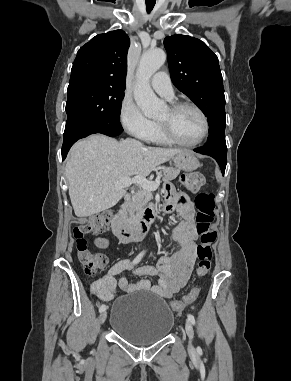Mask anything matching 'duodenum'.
Here are the masks:
<instances>
[{
    "label": "duodenum",
    "mask_w": 291,
    "mask_h": 381,
    "mask_svg": "<svg viewBox=\"0 0 291 381\" xmlns=\"http://www.w3.org/2000/svg\"><path fill=\"white\" fill-rule=\"evenodd\" d=\"M125 204L113 216L111 227L113 233L122 243L138 242L143 240L155 220L159 208L148 207L141 221L137 224H129L125 219L126 205L131 202L132 194L127 193L124 197Z\"/></svg>",
    "instance_id": "duodenum-1"
}]
</instances>
